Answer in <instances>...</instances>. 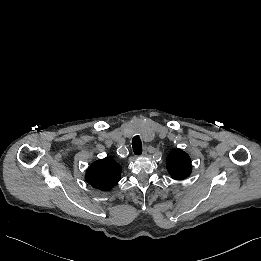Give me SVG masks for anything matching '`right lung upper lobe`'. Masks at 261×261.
Wrapping results in <instances>:
<instances>
[{"mask_svg": "<svg viewBox=\"0 0 261 261\" xmlns=\"http://www.w3.org/2000/svg\"><path fill=\"white\" fill-rule=\"evenodd\" d=\"M122 167L111 157L95 161L86 172L87 182L102 191L110 190L120 180Z\"/></svg>", "mask_w": 261, "mask_h": 261, "instance_id": "cb5924a9", "label": "right lung upper lobe"}]
</instances>
